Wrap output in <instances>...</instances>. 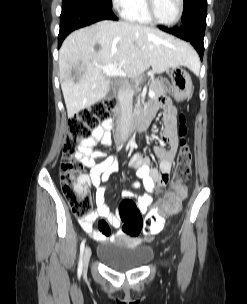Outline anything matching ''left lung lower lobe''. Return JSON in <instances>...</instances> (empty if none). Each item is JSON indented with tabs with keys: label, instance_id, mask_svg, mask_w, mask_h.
<instances>
[{
	"label": "left lung lower lobe",
	"instance_id": "1",
	"mask_svg": "<svg viewBox=\"0 0 247 304\" xmlns=\"http://www.w3.org/2000/svg\"><path fill=\"white\" fill-rule=\"evenodd\" d=\"M207 4L197 7L193 12L182 21V24L175 28L160 26L163 31L173 34L183 40L189 41L203 59L204 53V32L206 27Z\"/></svg>",
	"mask_w": 247,
	"mask_h": 304
}]
</instances>
